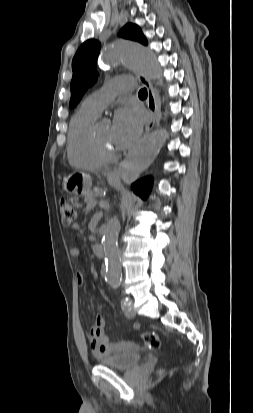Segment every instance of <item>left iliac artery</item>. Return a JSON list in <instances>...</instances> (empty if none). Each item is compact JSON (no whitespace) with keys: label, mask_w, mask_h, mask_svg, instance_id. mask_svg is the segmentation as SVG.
Here are the masks:
<instances>
[{"label":"left iliac artery","mask_w":253,"mask_h":413,"mask_svg":"<svg viewBox=\"0 0 253 413\" xmlns=\"http://www.w3.org/2000/svg\"><path fill=\"white\" fill-rule=\"evenodd\" d=\"M129 305V299L127 297L123 298L121 300V306L122 308L127 307Z\"/></svg>","instance_id":"44dca946"}]
</instances>
